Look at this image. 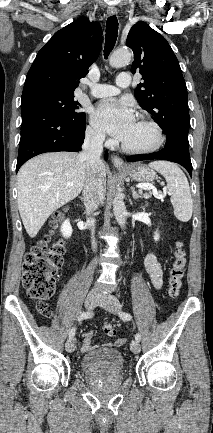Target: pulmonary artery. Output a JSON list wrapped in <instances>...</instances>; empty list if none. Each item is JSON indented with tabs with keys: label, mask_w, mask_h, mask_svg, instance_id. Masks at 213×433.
Returning <instances> with one entry per match:
<instances>
[{
	"label": "pulmonary artery",
	"mask_w": 213,
	"mask_h": 433,
	"mask_svg": "<svg viewBox=\"0 0 213 433\" xmlns=\"http://www.w3.org/2000/svg\"><path fill=\"white\" fill-rule=\"evenodd\" d=\"M130 75L126 72L120 73L116 79V86L108 84H90L89 94L96 98H104L117 95L121 89L130 85Z\"/></svg>",
	"instance_id": "obj_1"
}]
</instances>
